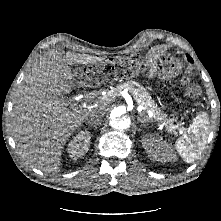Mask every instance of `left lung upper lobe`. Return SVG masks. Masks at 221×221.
Here are the masks:
<instances>
[{"label": "left lung upper lobe", "instance_id": "left-lung-upper-lobe-1", "mask_svg": "<svg viewBox=\"0 0 221 221\" xmlns=\"http://www.w3.org/2000/svg\"><path fill=\"white\" fill-rule=\"evenodd\" d=\"M187 58H188V60H189L190 62L193 61L192 58H191L189 55H187Z\"/></svg>", "mask_w": 221, "mask_h": 221}]
</instances>
